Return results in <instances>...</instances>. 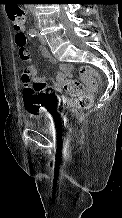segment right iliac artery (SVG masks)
I'll return each mask as SVG.
<instances>
[{
    "instance_id": "82829eb1",
    "label": "right iliac artery",
    "mask_w": 122,
    "mask_h": 218,
    "mask_svg": "<svg viewBox=\"0 0 122 218\" xmlns=\"http://www.w3.org/2000/svg\"><path fill=\"white\" fill-rule=\"evenodd\" d=\"M29 35H30L31 37H35V36H36V30L31 29V30L29 31Z\"/></svg>"
}]
</instances>
